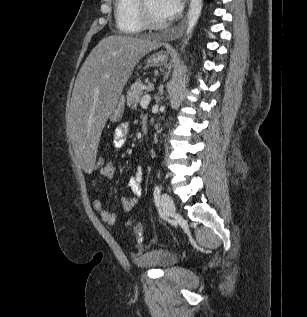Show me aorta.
Returning a JSON list of instances; mask_svg holds the SVG:
<instances>
[{"label":"aorta","instance_id":"aorta-1","mask_svg":"<svg viewBox=\"0 0 307 317\" xmlns=\"http://www.w3.org/2000/svg\"><path fill=\"white\" fill-rule=\"evenodd\" d=\"M202 10V0H190V7L188 11V25L186 30V39L184 41V45L182 48L185 47V45L188 44L189 39L191 38L193 31L197 25V22L199 20L200 14Z\"/></svg>","mask_w":307,"mask_h":317}]
</instances>
